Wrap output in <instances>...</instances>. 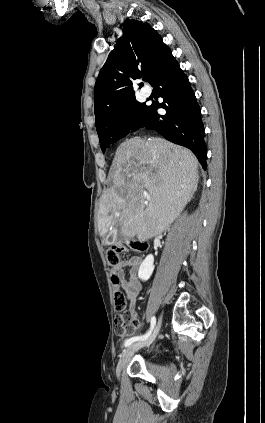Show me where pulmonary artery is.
Instances as JSON below:
<instances>
[{"instance_id":"e3ab8cb5","label":"pulmonary artery","mask_w":265,"mask_h":423,"mask_svg":"<svg viewBox=\"0 0 265 423\" xmlns=\"http://www.w3.org/2000/svg\"><path fill=\"white\" fill-rule=\"evenodd\" d=\"M141 92L144 96L149 97L152 91L149 87H143Z\"/></svg>"}]
</instances>
